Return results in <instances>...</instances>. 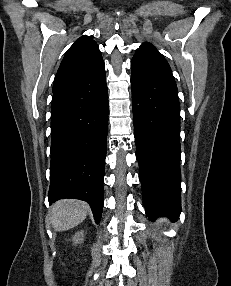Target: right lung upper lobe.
I'll return each mask as SVG.
<instances>
[{
	"label": "right lung upper lobe",
	"mask_w": 231,
	"mask_h": 286,
	"mask_svg": "<svg viewBox=\"0 0 231 286\" xmlns=\"http://www.w3.org/2000/svg\"><path fill=\"white\" fill-rule=\"evenodd\" d=\"M104 69V61L97 43L84 35L66 52L58 69L53 91L94 77Z\"/></svg>",
	"instance_id": "cb5924a9"
}]
</instances>
